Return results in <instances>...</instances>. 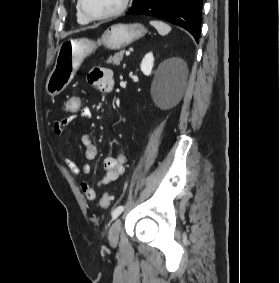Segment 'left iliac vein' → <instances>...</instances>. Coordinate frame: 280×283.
<instances>
[{"mask_svg":"<svg viewBox=\"0 0 280 283\" xmlns=\"http://www.w3.org/2000/svg\"><path fill=\"white\" fill-rule=\"evenodd\" d=\"M120 230L121 220L118 218L114 221L109 231L108 238L111 245H116L118 243Z\"/></svg>","mask_w":280,"mask_h":283,"instance_id":"4c4485c4","label":"left iliac vein"}]
</instances>
